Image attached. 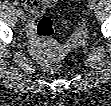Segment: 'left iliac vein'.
Segmentation results:
<instances>
[{
  "label": "left iliac vein",
  "instance_id": "4c4485c4",
  "mask_svg": "<svg viewBox=\"0 0 111 106\" xmlns=\"http://www.w3.org/2000/svg\"><path fill=\"white\" fill-rule=\"evenodd\" d=\"M95 5H96V3H95L94 1H91V2H89V4H88V8H89L90 10H93V9L95 8Z\"/></svg>",
  "mask_w": 111,
  "mask_h": 106
}]
</instances>
